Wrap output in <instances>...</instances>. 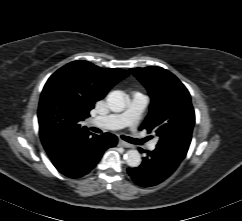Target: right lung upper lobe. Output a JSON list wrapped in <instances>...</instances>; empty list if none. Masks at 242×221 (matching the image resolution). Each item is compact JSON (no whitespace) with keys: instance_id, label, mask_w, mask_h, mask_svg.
<instances>
[{"instance_id":"obj_1","label":"right lung upper lobe","mask_w":242,"mask_h":221,"mask_svg":"<svg viewBox=\"0 0 242 221\" xmlns=\"http://www.w3.org/2000/svg\"><path fill=\"white\" fill-rule=\"evenodd\" d=\"M128 76L119 68L102 69L87 61H73L46 82L39 103V133L47 154L54 155L72 139L90 134L80 121L96 101Z\"/></svg>"}]
</instances>
